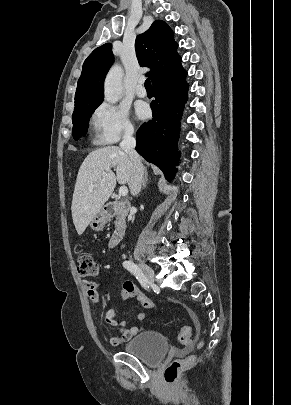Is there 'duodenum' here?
Segmentation results:
<instances>
[{
    "label": "duodenum",
    "instance_id": "duodenum-1",
    "mask_svg": "<svg viewBox=\"0 0 291 405\" xmlns=\"http://www.w3.org/2000/svg\"><path fill=\"white\" fill-rule=\"evenodd\" d=\"M129 209L130 203L126 200L111 202L105 206L104 213L106 216L110 217L117 215L119 217L116 227L109 239L110 247H116L122 241L126 230L124 217L128 213Z\"/></svg>",
    "mask_w": 291,
    "mask_h": 405
}]
</instances>
